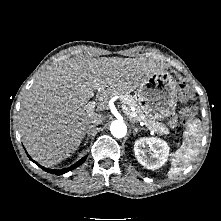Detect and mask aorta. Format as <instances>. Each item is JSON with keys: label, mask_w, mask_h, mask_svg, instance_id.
<instances>
[{"label": "aorta", "mask_w": 221, "mask_h": 221, "mask_svg": "<svg viewBox=\"0 0 221 221\" xmlns=\"http://www.w3.org/2000/svg\"><path fill=\"white\" fill-rule=\"evenodd\" d=\"M111 134L116 138H122L127 133V126L123 121L114 120L110 125Z\"/></svg>", "instance_id": "762f6f07"}]
</instances>
